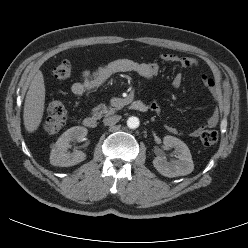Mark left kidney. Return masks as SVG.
<instances>
[{
	"mask_svg": "<svg viewBox=\"0 0 248 248\" xmlns=\"http://www.w3.org/2000/svg\"><path fill=\"white\" fill-rule=\"evenodd\" d=\"M167 147L174 148L175 157L178 160L168 162L165 157H156L153 165L159 173L166 177L184 176L194 170L192 156L187 145L173 136H166L163 140Z\"/></svg>",
	"mask_w": 248,
	"mask_h": 248,
	"instance_id": "left-kidney-1",
	"label": "left kidney"
}]
</instances>
